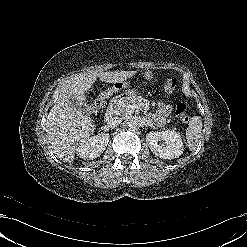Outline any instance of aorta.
Returning <instances> with one entry per match:
<instances>
[{"instance_id": "762f6f07", "label": "aorta", "mask_w": 247, "mask_h": 247, "mask_svg": "<svg viewBox=\"0 0 247 247\" xmlns=\"http://www.w3.org/2000/svg\"><path fill=\"white\" fill-rule=\"evenodd\" d=\"M127 127L129 130L135 131L139 128V122L136 119H131L127 122Z\"/></svg>"}]
</instances>
